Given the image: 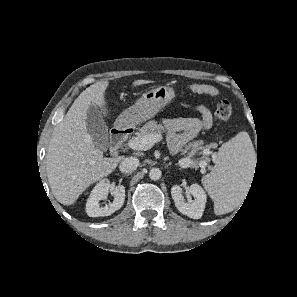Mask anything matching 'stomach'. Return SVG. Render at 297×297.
Here are the masks:
<instances>
[{"label":"stomach","mask_w":297,"mask_h":297,"mask_svg":"<svg viewBox=\"0 0 297 297\" xmlns=\"http://www.w3.org/2000/svg\"><path fill=\"white\" fill-rule=\"evenodd\" d=\"M176 97L174 88L166 85L152 87L117 120V127L134 126L154 117L158 111Z\"/></svg>","instance_id":"1"}]
</instances>
